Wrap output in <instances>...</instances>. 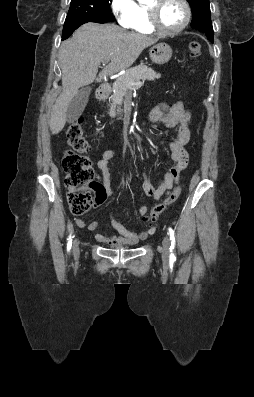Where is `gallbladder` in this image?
<instances>
[{
	"instance_id": "obj_1",
	"label": "gallbladder",
	"mask_w": 254,
	"mask_h": 397,
	"mask_svg": "<svg viewBox=\"0 0 254 397\" xmlns=\"http://www.w3.org/2000/svg\"><path fill=\"white\" fill-rule=\"evenodd\" d=\"M90 92L91 87H84L78 90L67 109L66 120L68 123H73L83 113L88 102Z\"/></svg>"
}]
</instances>
